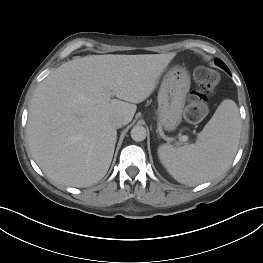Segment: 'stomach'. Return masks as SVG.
<instances>
[{"instance_id":"obj_1","label":"stomach","mask_w":263,"mask_h":263,"mask_svg":"<svg viewBox=\"0 0 263 263\" xmlns=\"http://www.w3.org/2000/svg\"><path fill=\"white\" fill-rule=\"evenodd\" d=\"M190 77L180 66L170 67L158 92L157 119L167 131H173L182 120L185 100L190 89Z\"/></svg>"}]
</instances>
